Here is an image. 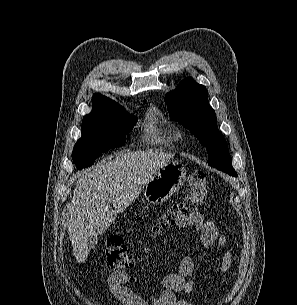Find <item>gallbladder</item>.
<instances>
[{
    "label": "gallbladder",
    "instance_id": "gallbladder-1",
    "mask_svg": "<svg viewBox=\"0 0 297 305\" xmlns=\"http://www.w3.org/2000/svg\"><path fill=\"white\" fill-rule=\"evenodd\" d=\"M87 243L90 249H94L98 243V238L95 236H88Z\"/></svg>",
    "mask_w": 297,
    "mask_h": 305
}]
</instances>
